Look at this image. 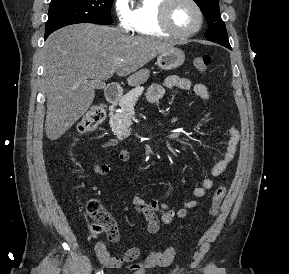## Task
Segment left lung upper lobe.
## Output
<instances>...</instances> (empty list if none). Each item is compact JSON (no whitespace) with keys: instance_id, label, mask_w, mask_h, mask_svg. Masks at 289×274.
Wrapping results in <instances>:
<instances>
[{"instance_id":"1","label":"left lung upper lobe","mask_w":289,"mask_h":274,"mask_svg":"<svg viewBox=\"0 0 289 274\" xmlns=\"http://www.w3.org/2000/svg\"><path fill=\"white\" fill-rule=\"evenodd\" d=\"M209 25L205 36L208 40L220 45H229L225 23L221 19L218 0H194Z\"/></svg>"}]
</instances>
